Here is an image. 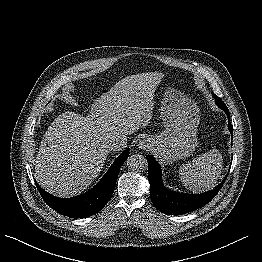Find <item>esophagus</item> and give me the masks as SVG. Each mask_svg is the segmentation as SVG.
Masks as SVG:
<instances>
[{"label":"esophagus","instance_id":"esophagus-1","mask_svg":"<svg viewBox=\"0 0 262 262\" xmlns=\"http://www.w3.org/2000/svg\"><path fill=\"white\" fill-rule=\"evenodd\" d=\"M138 148L148 151L151 149V144L146 138H141L138 142Z\"/></svg>","mask_w":262,"mask_h":262}]
</instances>
